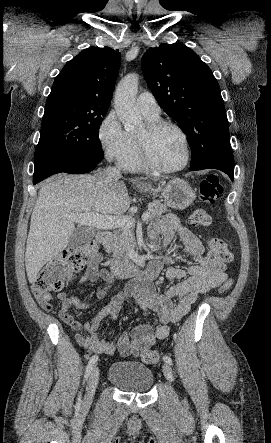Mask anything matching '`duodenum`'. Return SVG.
Returning <instances> with one entry per match:
<instances>
[{"mask_svg": "<svg viewBox=\"0 0 271 443\" xmlns=\"http://www.w3.org/2000/svg\"><path fill=\"white\" fill-rule=\"evenodd\" d=\"M98 242L107 245L111 241V234L106 231H100L96 236ZM110 271L118 277H130L139 272L138 265L132 260H119L109 263Z\"/></svg>", "mask_w": 271, "mask_h": 443, "instance_id": "obj_1", "label": "duodenum"}]
</instances>
